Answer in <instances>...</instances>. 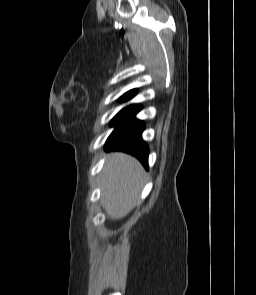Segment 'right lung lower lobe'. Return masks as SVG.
I'll use <instances>...</instances> for the list:
<instances>
[{
    "mask_svg": "<svg viewBox=\"0 0 256 295\" xmlns=\"http://www.w3.org/2000/svg\"><path fill=\"white\" fill-rule=\"evenodd\" d=\"M139 110L140 106L132 105L120 113L112 122L115 129L107 139L105 148L106 150H119L132 154L147 168L149 148L141 137L144 124L135 118Z\"/></svg>",
    "mask_w": 256,
    "mask_h": 295,
    "instance_id": "right-lung-lower-lobe-1",
    "label": "right lung lower lobe"
}]
</instances>
